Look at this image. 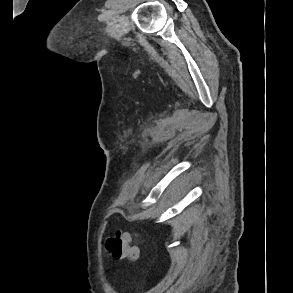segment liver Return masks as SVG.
Masks as SVG:
<instances>
[{
    "label": "liver",
    "mask_w": 293,
    "mask_h": 293,
    "mask_svg": "<svg viewBox=\"0 0 293 293\" xmlns=\"http://www.w3.org/2000/svg\"><path fill=\"white\" fill-rule=\"evenodd\" d=\"M179 184H180L179 181L173 183V184L171 185V187H170V190H169L168 194L171 195V196H173V194H174V193L176 192V190L178 189Z\"/></svg>",
    "instance_id": "liver-1"
}]
</instances>
